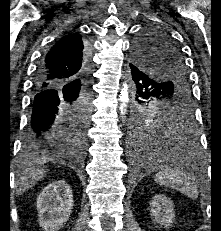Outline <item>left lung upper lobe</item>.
Masks as SVG:
<instances>
[{
	"label": "left lung upper lobe",
	"instance_id": "5c2ea615",
	"mask_svg": "<svg viewBox=\"0 0 221 231\" xmlns=\"http://www.w3.org/2000/svg\"><path fill=\"white\" fill-rule=\"evenodd\" d=\"M133 57L139 67L149 68L150 76L164 83L158 94L143 100L133 114L132 131L138 136H152L161 129L151 127V120L161 116L169 123L191 116L192 93L188 82L182 51L165 31L149 27L138 35Z\"/></svg>",
	"mask_w": 221,
	"mask_h": 231
}]
</instances>
